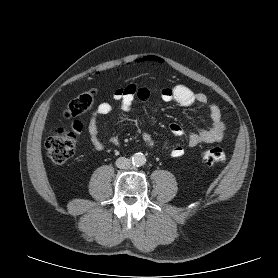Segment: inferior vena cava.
<instances>
[{
    "mask_svg": "<svg viewBox=\"0 0 278 278\" xmlns=\"http://www.w3.org/2000/svg\"><path fill=\"white\" fill-rule=\"evenodd\" d=\"M130 165H131L130 160L125 157H119L116 160V166L120 169H128Z\"/></svg>",
    "mask_w": 278,
    "mask_h": 278,
    "instance_id": "inferior-vena-cava-1",
    "label": "inferior vena cava"
}]
</instances>
